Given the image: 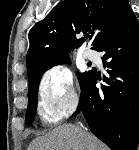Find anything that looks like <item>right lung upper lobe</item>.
I'll return each mask as SVG.
<instances>
[{
	"mask_svg": "<svg viewBox=\"0 0 139 150\" xmlns=\"http://www.w3.org/2000/svg\"><path fill=\"white\" fill-rule=\"evenodd\" d=\"M129 10L128 0H65L57 4L29 32L28 78L42 67L69 57V49L83 43L76 34L92 33V49L96 50Z\"/></svg>",
	"mask_w": 139,
	"mask_h": 150,
	"instance_id": "right-lung-upper-lobe-1",
	"label": "right lung upper lobe"
}]
</instances>
